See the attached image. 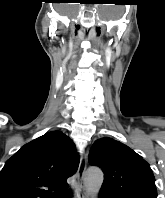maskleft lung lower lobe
Segmentation results:
<instances>
[{"label":"left lung lower lobe","mask_w":165,"mask_h":198,"mask_svg":"<svg viewBox=\"0 0 165 198\" xmlns=\"http://www.w3.org/2000/svg\"><path fill=\"white\" fill-rule=\"evenodd\" d=\"M99 198H116V197L107 191L100 190Z\"/></svg>","instance_id":"left-lung-lower-lobe-1"}]
</instances>
